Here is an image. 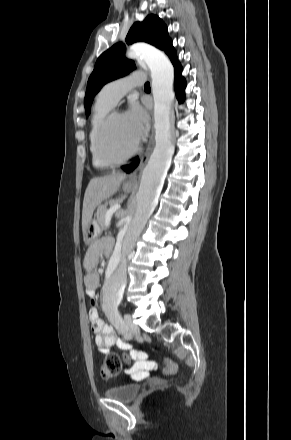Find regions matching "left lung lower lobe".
<instances>
[{
    "label": "left lung lower lobe",
    "instance_id": "obj_1",
    "mask_svg": "<svg viewBox=\"0 0 291 440\" xmlns=\"http://www.w3.org/2000/svg\"><path fill=\"white\" fill-rule=\"evenodd\" d=\"M172 63L174 65V69H175L174 86H175V90H176V95H177L179 102L181 103L184 100V89L186 87V81H185L184 77H182V75H181L182 67H181L179 61L177 60V58H175L172 61ZM139 162H140V160L138 158H136V160L133 163H131L129 165H124L121 168L126 173H130L138 167Z\"/></svg>",
    "mask_w": 291,
    "mask_h": 440
}]
</instances>
